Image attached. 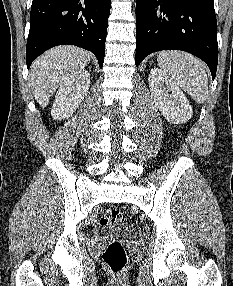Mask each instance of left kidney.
Listing matches in <instances>:
<instances>
[{
  "label": "left kidney",
  "instance_id": "obj_1",
  "mask_svg": "<svg viewBox=\"0 0 233 286\" xmlns=\"http://www.w3.org/2000/svg\"><path fill=\"white\" fill-rule=\"evenodd\" d=\"M149 87L154 103L168 122L185 123L192 117L193 110L185 94L165 72L151 69Z\"/></svg>",
  "mask_w": 233,
  "mask_h": 286
}]
</instances>
